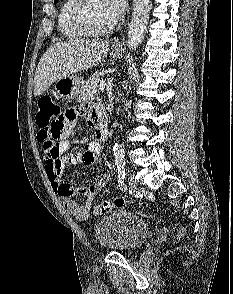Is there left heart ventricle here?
Listing matches in <instances>:
<instances>
[{
  "label": "left heart ventricle",
  "mask_w": 233,
  "mask_h": 294,
  "mask_svg": "<svg viewBox=\"0 0 233 294\" xmlns=\"http://www.w3.org/2000/svg\"><path fill=\"white\" fill-rule=\"evenodd\" d=\"M87 20L94 29H102L117 18L109 10L105 0H91L87 8Z\"/></svg>",
  "instance_id": "1"
}]
</instances>
